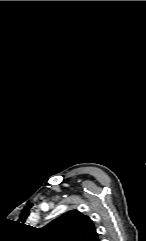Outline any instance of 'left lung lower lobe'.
Masks as SVG:
<instances>
[{"instance_id":"0a47b994","label":"left lung lower lobe","mask_w":146,"mask_h":241,"mask_svg":"<svg viewBox=\"0 0 146 241\" xmlns=\"http://www.w3.org/2000/svg\"><path fill=\"white\" fill-rule=\"evenodd\" d=\"M92 241H99V239H98V235L95 236V237L92 239Z\"/></svg>"}]
</instances>
